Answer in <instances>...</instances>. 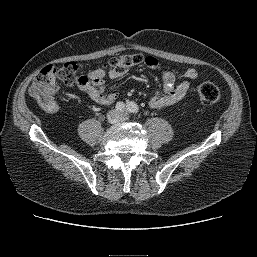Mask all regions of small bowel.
<instances>
[{
  "label": "small bowel",
  "mask_w": 257,
  "mask_h": 257,
  "mask_svg": "<svg viewBox=\"0 0 257 257\" xmlns=\"http://www.w3.org/2000/svg\"><path fill=\"white\" fill-rule=\"evenodd\" d=\"M144 64L152 69L158 67V60L152 56H148L144 59ZM108 75L112 79H117L122 76L115 71H109ZM104 72L102 70H96L89 74L90 80L81 85L80 88L85 94L100 105H110L117 98V92L112 90L108 93L105 92L106 87L103 82ZM198 77V73L195 69H187L182 78L176 81L173 73L170 71H164L162 73V86L161 88L150 98L149 105L151 108L159 110L170 106L179 100H181L188 92L191 82ZM57 91V88L56 90Z\"/></svg>",
  "instance_id": "small-bowel-1"
}]
</instances>
